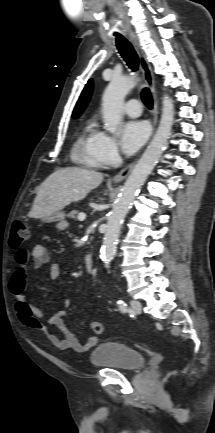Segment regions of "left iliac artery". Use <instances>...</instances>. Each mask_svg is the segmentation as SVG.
Here are the masks:
<instances>
[{
  "label": "left iliac artery",
  "instance_id": "44dca946",
  "mask_svg": "<svg viewBox=\"0 0 215 433\" xmlns=\"http://www.w3.org/2000/svg\"><path fill=\"white\" fill-rule=\"evenodd\" d=\"M117 304L119 305V309L121 312H127L128 311V306L124 301L118 300Z\"/></svg>",
  "mask_w": 215,
  "mask_h": 433
}]
</instances>
